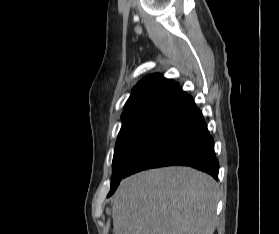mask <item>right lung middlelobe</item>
I'll use <instances>...</instances> for the list:
<instances>
[{"label":"right lung middle lobe","instance_id":"right-lung-middle-lobe-1","mask_svg":"<svg viewBox=\"0 0 279 234\" xmlns=\"http://www.w3.org/2000/svg\"><path fill=\"white\" fill-rule=\"evenodd\" d=\"M170 110L171 107H155L122 115L123 124L115 146L108 196L114 193L136 152Z\"/></svg>","mask_w":279,"mask_h":234}]
</instances>
